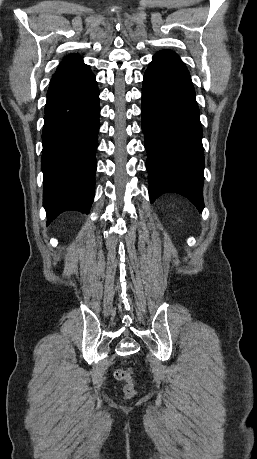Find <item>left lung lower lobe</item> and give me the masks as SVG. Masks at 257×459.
<instances>
[{
  "label": "left lung lower lobe",
  "mask_w": 257,
  "mask_h": 459,
  "mask_svg": "<svg viewBox=\"0 0 257 459\" xmlns=\"http://www.w3.org/2000/svg\"><path fill=\"white\" fill-rule=\"evenodd\" d=\"M142 130L151 203L173 192L188 198L201 212L204 155L200 113L189 72L172 51L156 53L144 74Z\"/></svg>",
  "instance_id": "0a47b994"
}]
</instances>
